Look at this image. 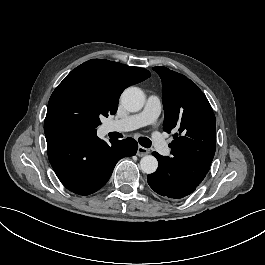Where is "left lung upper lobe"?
I'll return each instance as SVG.
<instances>
[{
	"mask_svg": "<svg viewBox=\"0 0 265 265\" xmlns=\"http://www.w3.org/2000/svg\"><path fill=\"white\" fill-rule=\"evenodd\" d=\"M163 84V129L173 132L168 163L201 183L208 173L216 144V120L200 88L186 76L166 67H153Z\"/></svg>",
	"mask_w": 265,
	"mask_h": 265,
	"instance_id": "5c2ea615",
	"label": "left lung upper lobe"
}]
</instances>
